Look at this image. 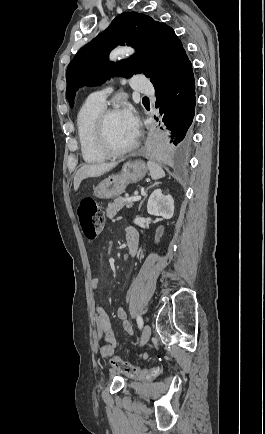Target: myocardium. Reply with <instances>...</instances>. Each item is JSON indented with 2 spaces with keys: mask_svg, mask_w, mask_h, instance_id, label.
Returning <instances> with one entry per match:
<instances>
[{
  "mask_svg": "<svg viewBox=\"0 0 265 434\" xmlns=\"http://www.w3.org/2000/svg\"><path fill=\"white\" fill-rule=\"evenodd\" d=\"M118 114V110L115 108L104 109L97 121V130H98V142L100 148L104 152V154L109 158H120L131 154L139 145V140L136 139L135 142L128 148L118 150L115 149L109 141V130L108 123L112 116Z\"/></svg>",
  "mask_w": 265,
  "mask_h": 434,
  "instance_id": "obj_1",
  "label": "myocardium"
}]
</instances>
